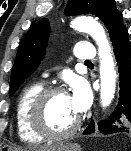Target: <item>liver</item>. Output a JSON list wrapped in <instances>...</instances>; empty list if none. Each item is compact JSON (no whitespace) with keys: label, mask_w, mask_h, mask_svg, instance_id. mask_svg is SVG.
<instances>
[{"label":"liver","mask_w":131,"mask_h":151,"mask_svg":"<svg viewBox=\"0 0 131 151\" xmlns=\"http://www.w3.org/2000/svg\"><path fill=\"white\" fill-rule=\"evenodd\" d=\"M54 148H40L39 151H49L53 150Z\"/></svg>","instance_id":"1"}]
</instances>
